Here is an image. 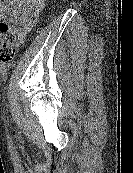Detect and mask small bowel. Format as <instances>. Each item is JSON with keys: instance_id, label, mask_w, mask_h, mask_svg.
I'll use <instances>...</instances> for the list:
<instances>
[{"instance_id": "small-bowel-1", "label": "small bowel", "mask_w": 133, "mask_h": 173, "mask_svg": "<svg viewBox=\"0 0 133 173\" xmlns=\"http://www.w3.org/2000/svg\"><path fill=\"white\" fill-rule=\"evenodd\" d=\"M45 0H0V22L9 19L11 32L22 42L34 26Z\"/></svg>"}]
</instances>
